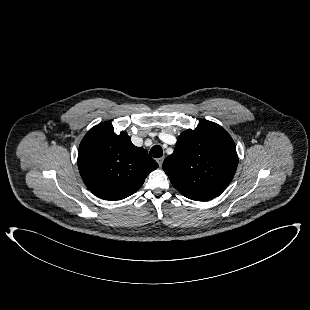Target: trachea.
Segmentation results:
<instances>
[{
  "mask_svg": "<svg viewBox=\"0 0 310 310\" xmlns=\"http://www.w3.org/2000/svg\"><path fill=\"white\" fill-rule=\"evenodd\" d=\"M150 155L154 158H160L163 155V150L160 145H154L150 150Z\"/></svg>",
  "mask_w": 310,
  "mask_h": 310,
  "instance_id": "1",
  "label": "trachea"
}]
</instances>
